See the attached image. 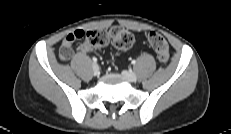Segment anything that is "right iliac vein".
Returning <instances> with one entry per match:
<instances>
[{
    "instance_id": "right-iliac-vein-1",
    "label": "right iliac vein",
    "mask_w": 231,
    "mask_h": 134,
    "mask_svg": "<svg viewBox=\"0 0 231 134\" xmlns=\"http://www.w3.org/2000/svg\"><path fill=\"white\" fill-rule=\"evenodd\" d=\"M92 69L94 75H97L99 73V66L96 63H93Z\"/></svg>"
}]
</instances>
